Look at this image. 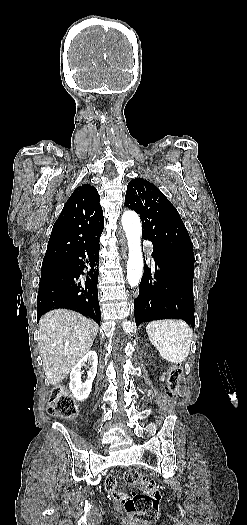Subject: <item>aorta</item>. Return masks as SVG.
Segmentation results:
<instances>
[{
  "label": "aorta",
  "instance_id": "762f6f07",
  "mask_svg": "<svg viewBox=\"0 0 247 525\" xmlns=\"http://www.w3.org/2000/svg\"><path fill=\"white\" fill-rule=\"evenodd\" d=\"M122 225L127 237L129 248L127 281L131 287H136L139 284L143 273L140 218L135 212L126 211L122 215Z\"/></svg>",
  "mask_w": 247,
  "mask_h": 525
}]
</instances>
